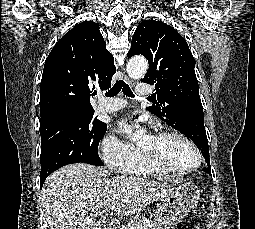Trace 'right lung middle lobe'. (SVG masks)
<instances>
[{
  "instance_id": "dd1d6c3e",
  "label": "right lung middle lobe",
  "mask_w": 255,
  "mask_h": 229,
  "mask_svg": "<svg viewBox=\"0 0 255 229\" xmlns=\"http://www.w3.org/2000/svg\"><path fill=\"white\" fill-rule=\"evenodd\" d=\"M93 114H56L41 119V174L71 163L103 165L98 145L107 125Z\"/></svg>"
}]
</instances>
